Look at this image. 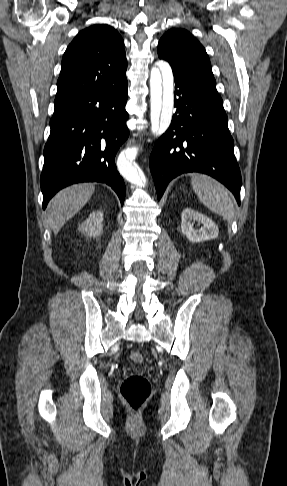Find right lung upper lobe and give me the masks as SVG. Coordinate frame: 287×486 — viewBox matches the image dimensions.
<instances>
[{"label": "right lung upper lobe", "instance_id": "cb5924a9", "mask_svg": "<svg viewBox=\"0 0 287 486\" xmlns=\"http://www.w3.org/2000/svg\"><path fill=\"white\" fill-rule=\"evenodd\" d=\"M61 65L55 109L127 80L124 41L106 24L80 31L67 47Z\"/></svg>", "mask_w": 287, "mask_h": 486}]
</instances>
